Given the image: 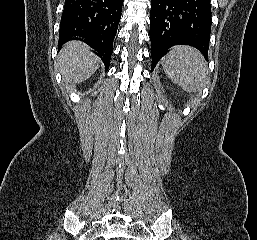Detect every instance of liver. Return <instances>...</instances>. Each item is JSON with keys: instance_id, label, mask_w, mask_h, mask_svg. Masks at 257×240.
<instances>
[{"instance_id": "obj_1", "label": "liver", "mask_w": 257, "mask_h": 240, "mask_svg": "<svg viewBox=\"0 0 257 240\" xmlns=\"http://www.w3.org/2000/svg\"><path fill=\"white\" fill-rule=\"evenodd\" d=\"M57 64L66 83H81L98 69L100 59L80 41L66 43L57 57Z\"/></svg>"}]
</instances>
